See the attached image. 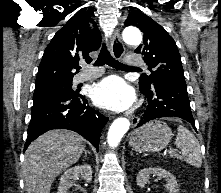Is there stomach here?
I'll list each match as a JSON object with an SVG mask.
<instances>
[{"label":"stomach","instance_id":"1","mask_svg":"<svg viewBox=\"0 0 221 193\" xmlns=\"http://www.w3.org/2000/svg\"><path fill=\"white\" fill-rule=\"evenodd\" d=\"M170 127L163 121L153 120L130 134L129 145L137 152H155L165 148L171 141Z\"/></svg>","mask_w":221,"mask_h":193}]
</instances>
